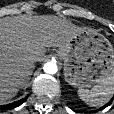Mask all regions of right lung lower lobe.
I'll use <instances>...</instances> for the list:
<instances>
[{"label":"right lung lower lobe","instance_id":"obj_1","mask_svg":"<svg viewBox=\"0 0 114 114\" xmlns=\"http://www.w3.org/2000/svg\"><path fill=\"white\" fill-rule=\"evenodd\" d=\"M27 100V97L19 100V101H16L14 103H11V104H8V105H3V106H0V110H8V109H13L15 107H18L20 106L24 101Z\"/></svg>","mask_w":114,"mask_h":114}]
</instances>
